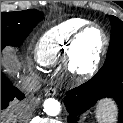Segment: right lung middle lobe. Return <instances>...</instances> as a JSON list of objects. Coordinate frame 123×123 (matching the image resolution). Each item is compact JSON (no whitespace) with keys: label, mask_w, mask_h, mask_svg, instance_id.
I'll return each instance as SVG.
<instances>
[{"label":"right lung middle lobe","mask_w":123,"mask_h":123,"mask_svg":"<svg viewBox=\"0 0 123 123\" xmlns=\"http://www.w3.org/2000/svg\"><path fill=\"white\" fill-rule=\"evenodd\" d=\"M42 19L43 13L35 9L1 12V50L6 45H21Z\"/></svg>","instance_id":"right-lung-middle-lobe-1"}]
</instances>
